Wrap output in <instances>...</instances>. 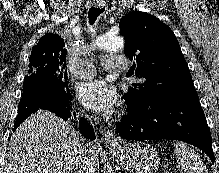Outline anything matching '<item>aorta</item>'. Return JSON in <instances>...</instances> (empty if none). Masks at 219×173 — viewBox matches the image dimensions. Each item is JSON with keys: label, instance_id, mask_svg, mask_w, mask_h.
<instances>
[{"label": "aorta", "instance_id": "obj_1", "mask_svg": "<svg viewBox=\"0 0 219 173\" xmlns=\"http://www.w3.org/2000/svg\"><path fill=\"white\" fill-rule=\"evenodd\" d=\"M94 46L103 51H119L124 48V39L118 35H99L94 40Z\"/></svg>", "mask_w": 219, "mask_h": 173}]
</instances>
